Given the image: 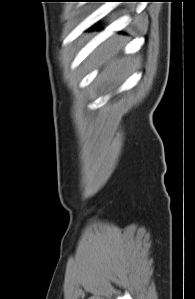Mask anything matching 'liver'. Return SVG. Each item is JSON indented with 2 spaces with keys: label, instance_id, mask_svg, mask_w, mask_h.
<instances>
[{
  "label": "liver",
  "instance_id": "6515ba94",
  "mask_svg": "<svg viewBox=\"0 0 195 299\" xmlns=\"http://www.w3.org/2000/svg\"><path fill=\"white\" fill-rule=\"evenodd\" d=\"M122 49L121 41L113 38L102 44L93 54L94 63L103 67L100 79L108 85H113L119 81L131 66L130 57L119 56Z\"/></svg>",
  "mask_w": 195,
  "mask_h": 299
}]
</instances>
